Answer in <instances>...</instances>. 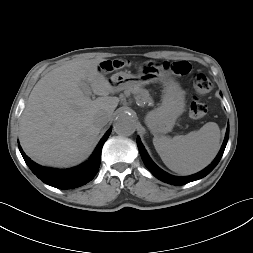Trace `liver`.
Here are the masks:
<instances>
[{"instance_id":"1","label":"liver","mask_w":253,"mask_h":253,"mask_svg":"<svg viewBox=\"0 0 253 253\" xmlns=\"http://www.w3.org/2000/svg\"><path fill=\"white\" fill-rule=\"evenodd\" d=\"M104 59L70 61L47 73L34 86L20 118L19 138L26 154L47 166L68 167L93 150L102 127L97 115L110 117L119 98L98 70ZM87 82L99 95L91 100L82 91Z\"/></svg>"}]
</instances>
